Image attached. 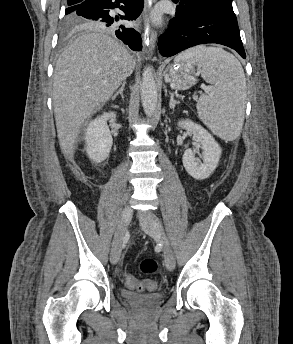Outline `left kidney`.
<instances>
[{
	"label": "left kidney",
	"mask_w": 293,
	"mask_h": 344,
	"mask_svg": "<svg viewBox=\"0 0 293 344\" xmlns=\"http://www.w3.org/2000/svg\"><path fill=\"white\" fill-rule=\"evenodd\" d=\"M177 125L181 129L191 131L197 144L201 145L203 149V162L195 157L193 150L188 149L184 152L182 161L185 170L196 180L208 178L218 165L222 153L221 147L214 137L201 125L189 119L181 120Z\"/></svg>",
	"instance_id": "left-kidney-1"
}]
</instances>
